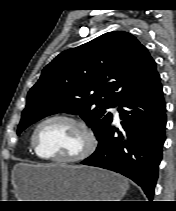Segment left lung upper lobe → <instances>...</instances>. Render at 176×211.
Segmentation results:
<instances>
[{"instance_id":"5c2ea615","label":"left lung upper lobe","mask_w":176,"mask_h":211,"mask_svg":"<svg viewBox=\"0 0 176 211\" xmlns=\"http://www.w3.org/2000/svg\"><path fill=\"white\" fill-rule=\"evenodd\" d=\"M159 78L148 50L130 33H105L60 53L27 95L17 129L55 113L79 114L100 140L112 119L107 109Z\"/></svg>"}]
</instances>
